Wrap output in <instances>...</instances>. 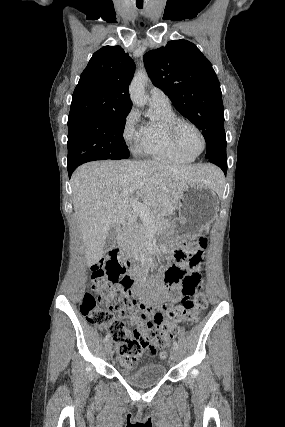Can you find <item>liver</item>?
<instances>
[{"instance_id":"obj_1","label":"liver","mask_w":285,"mask_h":427,"mask_svg":"<svg viewBox=\"0 0 285 427\" xmlns=\"http://www.w3.org/2000/svg\"><path fill=\"white\" fill-rule=\"evenodd\" d=\"M220 171L206 164L172 165L157 161H95L77 168L71 178L73 206L81 231L87 266L104 255L108 231L130 217V190L145 206L170 215L185 187L203 183L217 191Z\"/></svg>"}]
</instances>
